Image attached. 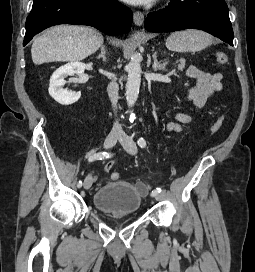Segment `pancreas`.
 I'll use <instances>...</instances> for the list:
<instances>
[{
  "label": "pancreas",
  "mask_w": 255,
  "mask_h": 272,
  "mask_svg": "<svg viewBox=\"0 0 255 272\" xmlns=\"http://www.w3.org/2000/svg\"><path fill=\"white\" fill-rule=\"evenodd\" d=\"M184 68H185V63L184 62H179V64H178V70L179 71H183Z\"/></svg>",
  "instance_id": "pancreas-1"
}]
</instances>
